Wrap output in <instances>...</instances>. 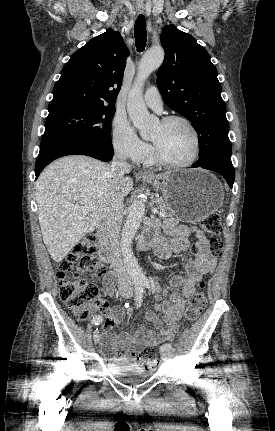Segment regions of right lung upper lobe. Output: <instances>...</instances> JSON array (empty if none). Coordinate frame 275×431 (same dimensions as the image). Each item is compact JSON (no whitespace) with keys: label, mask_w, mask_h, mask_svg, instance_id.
<instances>
[{"label":"right lung upper lobe","mask_w":275,"mask_h":431,"mask_svg":"<svg viewBox=\"0 0 275 431\" xmlns=\"http://www.w3.org/2000/svg\"><path fill=\"white\" fill-rule=\"evenodd\" d=\"M129 51L119 32L108 29L77 50L53 89L49 112L77 107H114Z\"/></svg>","instance_id":"obj_1"}]
</instances>
